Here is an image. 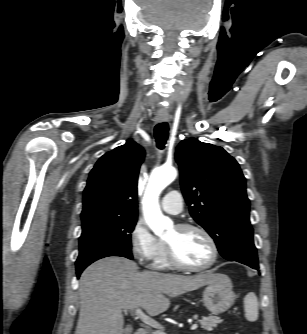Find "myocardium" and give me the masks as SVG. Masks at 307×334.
Returning <instances> with one entry per match:
<instances>
[{"label": "myocardium", "instance_id": "myocardium-1", "mask_svg": "<svg viewBox=\"0 0 307 334\" xmlns=\"http://www.w3.org/2000/svg\"><path fill=\"white\" fill-rule=\"evenodd\" d=\"M176 228L179 230H196L200 232L208 241L211 247L212 255H211L210 260L207 263L200 265V266H191L181 261L179 257L177 256V254L175 253L173 247L167 242H164L167 257L172 266L180 270H183V271L198 272V271L206 270L212 267L216 263L218 256H219V249H218L215 239L209 233L208 230L194 223H181V224L176 225Z\"/></svg>", "mask_w": 307, "mask_h": 334}]
</instances>
